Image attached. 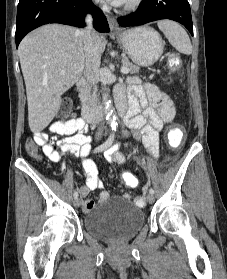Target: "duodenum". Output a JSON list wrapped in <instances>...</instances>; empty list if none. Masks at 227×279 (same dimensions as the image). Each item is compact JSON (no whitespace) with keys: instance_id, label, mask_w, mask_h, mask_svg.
I'll return each mask as SVG.
<instances>
[{"instance_id":"1","label":"duodenum","mask_w":227,"mask_h":279,"mask_svg":"<svg viewBox=\"0 0 227 279\" xmlns=\"http://www.w3.org/2000/svg\"><path fill=\"white\" fill-rule=\"evenodd\" d=\"M86 87L85 81H79L75 85V90L81 93ZM116 112L119 116H125L127 113V104L124 100H117L115 106ZM102 117V109L95 110L93 108H86L83 111V118L88 123H96Z\"/></svg>"}]
</instances>
